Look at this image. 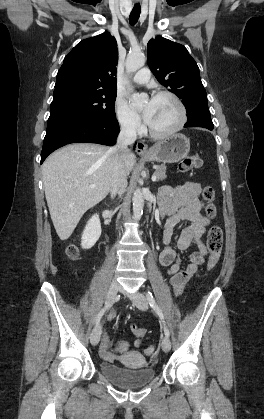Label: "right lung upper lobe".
Returning <instances> with one entry per match:
<instances>
[{"label":"right lung upper lobe","mask_w":264,"mask_h":419,"mask_svg":"<svg viewBox=\"0 0 264 419\" xmlns=\"http://www.w3.org/2000/svg\"><path fill=\"white\" fill-rule=\"evenodd\" d=\"M116 39L108 32L79 42L65 57L58 71L55 88L68 84L117 91Z\"/></svg>","instance_id":"1"}]
</instances>
